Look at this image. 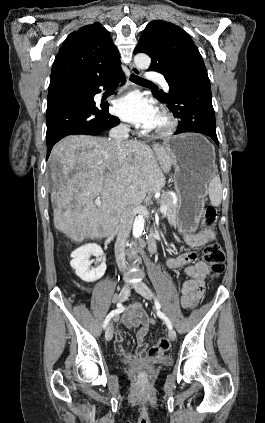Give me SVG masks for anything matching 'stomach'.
Returning a JSON list of instances; mask_svg holds the SVG:
<instances>
[{"mask_svg":"<svg viewBox=\"0 0 265 423\" xmlns=\"http://www.w3.org/2000/svg\"><path fill=\"white\" fill-rule=\"evenodd\" d=\"M164 146L175 169L179 198L176 225L181 232H195L202 217L207 184L214 176V147L204 136L194 133L170 137Z\"/></svg>","mask_w":265,"mask_h":423,"instance_id":"0dacf381","label":"stomach"}]
</instances>
